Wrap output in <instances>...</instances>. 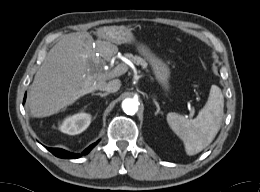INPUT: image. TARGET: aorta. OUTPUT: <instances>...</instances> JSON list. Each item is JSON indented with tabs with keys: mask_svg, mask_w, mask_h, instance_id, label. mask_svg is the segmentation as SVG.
<instances>
[{
	"mask_svg": "<svg viewBox=\"0 0 260 192\" xmlns=\"http://www.w3.org/2000/svg\"><path fill=\"white\" fill-rule=\"evenodd\" d=\"M122 109L128 115H134L138 111V102L133 98H126L122 102Z\"/></svg>",
	"mask_w": 260,
	"mask_h": 192,
	"instance_id": "obj_1",
	"label": "aorta"
}]
</instances>
